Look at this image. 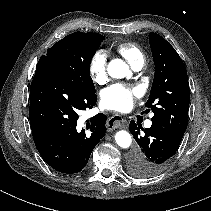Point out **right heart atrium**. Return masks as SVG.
<instances>
[{
  "label": "right heart atrium",
  "mask_w": 211,
  "mask_h": 211,
  "mask_svg": "<svg viewBox=\"0 0 211 211\" xmlns=\"http://www.w3.org/2000/svg\"><path fill=\"white\" fill-rule=\"evenodd\" d=\"M89 73L98 84H102L107 80V57L103 51H96L91 57Z\"/></svg>",
  "instance_id": "1"
}]
</instances>
